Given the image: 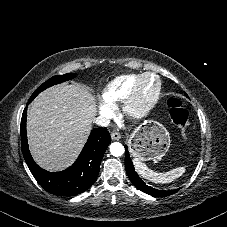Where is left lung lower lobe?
Returning a JSON list of instances; mask_svg holds the SVG:
<instances>
[{
    "mask_svg": "<svg viewBox=\"0 0 227 227\" xmlns=\"http://www.w3.org/2000/svg\"><path fill=\"white\" fill-rule=\"evenodd\" d=\"M126 149V153H125V168H126V172L128 174L129 179L131 180V182L141 191L152 195V196H157V197H165V196H169L171 194H174L175 192L178 191V189H174V190H169V191H165V190H158V189H154L148 185H146L142 179L138 176V174L135 172L133 163L131 161L129 152L127 150V146H125Z\"/></svg>",
    "mask_w": 227,
    "mask_h": 227,
    "instance_id": "1",
    "label": "left lung lower lobe"
}]
</instances>
